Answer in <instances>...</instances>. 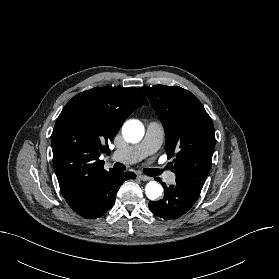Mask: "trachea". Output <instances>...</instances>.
<instances>
[{
	"instance_id": "trachea-1",
	"label": "trachea",
	"mask_w": 279,
	"mask_h": 279,
	"mask_svg": "<svg viewBox=\"0 0 279 279\" xmlns=\"http://www.w3.org/2000/svg\"><path fill=\"white\" fill-rule=\"evenodd\" d=\"M114 169L117 171H124L125 166L121 163H115ZM161 172L162 171L160 169H144V173L148 176H158L161 174Z\"/></svg>"
}]
</instances>
